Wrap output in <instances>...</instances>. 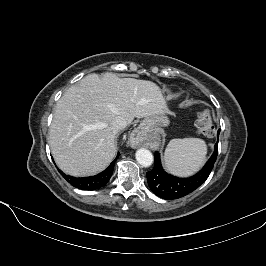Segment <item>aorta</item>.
Listing matches in <instances>:
<instances>
[{
  "instance_id": "762f6f07",
  "label": "aorta",
  "mask_w": 266,
  "mask_h": 266,
  "mask_svg": "<svg viewBox=\"0 0 266 266\" xmlns=\"http://www.w3.org/2000/svg\"><path fill=\"white\" fill-rule=\"evenodd\" d=\"M136 160L141 166L149 167L153 163V155L149 150L141 148L136 152Z\"/></svg>"
}]
</instances>
